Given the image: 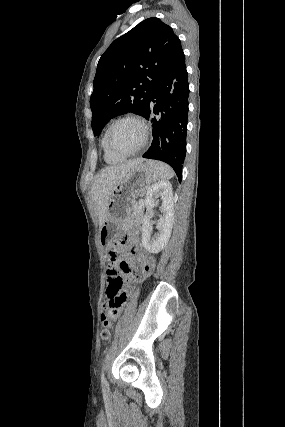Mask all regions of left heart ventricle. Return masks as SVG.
<instances>
[{"label":"left heart ventricle","mask_w":285,"mask_h":427,"mask_svg":"<svg viewBox=\"0 0 285 427\" xmlns=\"http://www.w3.org/2000/svg\"><path fill=\"white\" fill-rule=\"evenodd\" d=\"M142 139V129L133 121H123L114 126L110 134L111 145L123 152L134 150Z\"/></svg>","instance_id":"b2bd125f"}]
</instances>
